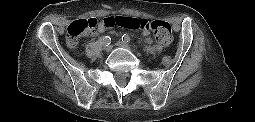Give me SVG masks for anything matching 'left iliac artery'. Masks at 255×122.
Wrapping results in <instances>:
<instances>
[{
  "label": "left iliac artery",
  "mask_w": 255,
  "mask_h": 122,
  "mask_svg": "<svg viewBox=\"0 0 255 122\" xmlns=\"http://www.w3.org/2000/svg\"><path fill=\"white\" fill-rule=\"evenodd\" d=\"M122 41L125 43H130L131 42L130 36L128 34H124L122 36Z\"/></svg>",
  "instance_id": "44dca946"
}]
</instances>
